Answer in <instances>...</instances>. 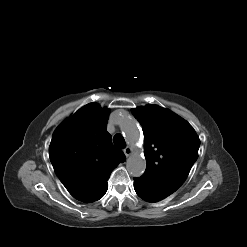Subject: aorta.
Returning <instances> with one entry per match:
<instances>
[{
	"instance_id": "obj_1",
	"label": "aorta",
	"mask_w": 247,
	"mask_h": 247,
	"mask_svg": "<svg viewBox=\"0 0 247 247\" xmlns=\"http://www.w3.org/2000/svg\"><path fill=\"white\" fill-rule=\"evenodd\" d=\"M119 126L129 145L134 149L137 148L138 143L141 141L137 121L130 115L122 114L119 117ZM126 167L132 176L139 177L146 168L145 158L141 154L134 152L128 158Z\"/></svg>"
}]
</instances>
